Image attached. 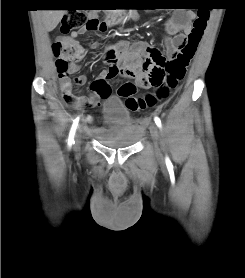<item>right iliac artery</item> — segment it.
<instances>
[{
  "instance_id": "1",
  "label": "right iliac artery",
  "mask_w": 245,
  "mask_h": 278,
  "mask_svg": "<svg viewBox=\"0 0 245 278\" xmlns=\"http://www.w3.org/2000/svg\"><path fill=\"white\" fill-rule=\"evenodd\" d=\"M78 121H79V118H76L73 122L72 127H71L69 137H68V147L69 148H71L72 144H74V135H75L76 128H77V125H78Z\"/></svg>"
}]
</instances>
